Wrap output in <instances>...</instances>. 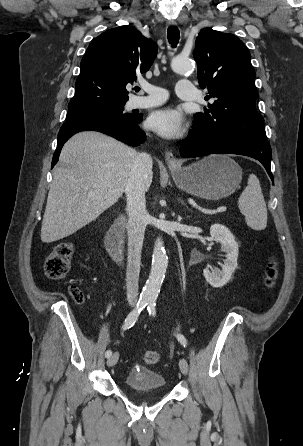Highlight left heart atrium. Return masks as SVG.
<instances>
[{
  "instance_id": "left-heart-atrium-1",
  "label": "left heart atrium",
  "mask_w": 303,
  "mask_h": 446,
  "mask_svg": "<svg viewBox=\"0 0 303 446\" xmlns=\"http://www.w3.org/2000/svg\"><path fill=\"white\" fill-rule=\"evenodd\" d=\"M148 126L159 135L174 139L184 133L185 120L179 110L168 107L153 112L148 118Z\"/></svg>"
}]
</instances>
